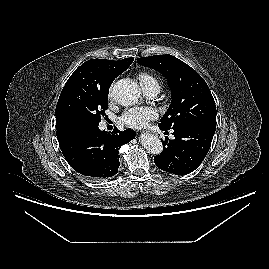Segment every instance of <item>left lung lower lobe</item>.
Here are the masks:
<instances>
[{
    "instance_id": "1",
    "label": "left lung lower lobe",
    "mask_w": 269,
    "mask_h": 269,
    "mask_svg": "<svg viewBox=\"0 0 269 269\" xmlns=\"http://www.w3.org/2000/svg\"><path fill=\"white\" fill-rule=\"evenodd\" d=\"M215 130L211 125L174 130L175 139L163 142V152L154 157L156 166L176 175L191 173L207 155Z\"/></svg>"
}]
</instances>
